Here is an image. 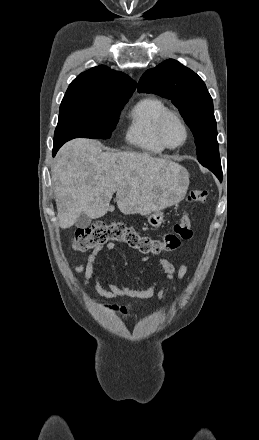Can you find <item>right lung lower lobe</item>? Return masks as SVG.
I'll return each instance as SVG.
<instances>
[{"label":"right lung lower lobe","instance_id":"right-lung-lower-lobe-1","mask_svg":"<svg viewBox=\"0 0 259 440\" xmlns=\"http://www.w3.org/2000/svg\"><path fill=\"white\" fill-rule=\"evenodd\" d=\"M62 146L61 143H54V147H53V156L56 154V152L58 151V149Z\"/></svg>","mask_w":259,"mask_h":440}]
</instances>
